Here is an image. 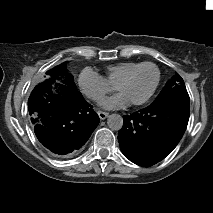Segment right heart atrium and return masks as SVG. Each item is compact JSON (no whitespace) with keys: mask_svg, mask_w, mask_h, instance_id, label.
I'll return each instance as SVG.
<instances>
[{"mask_svg":"<svg viewBox=\"0 0 213 213\" xmlns=\"http://www.w3.org/2000/svg\"><path fill=\"white\" fill-rule=\"evenodd\" d=\"M78 84L84 95L95 102H101L112 91L111 85L101 75L89 68L80 73Z\"/></svg>","mask_w":213,"mask_h":213,"instance_id":"1","label":"right heart atrium"}]
</instances>
